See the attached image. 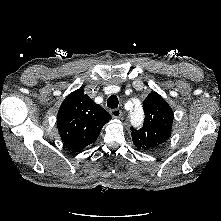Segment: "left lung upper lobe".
Here are the masks:
<instances>
[{
  "label": "left lung upper lobe",
  "instance_id": "5c2ea615",
  "mask_svg": "<svg viewBox=\"0 0 221 221\" xmlns=\"http://www.w3.org/2000/svg\"><path fill=\"white\" fill-rule=\"evenodd\" d=\"M145 119L140 130L131 128L134 145L144 151H154L171 136L173 112L168 103L156 92L143 102Z\"/></svg>",
  "mask_w": 221,
  "mask_h": 221
}]
</instances>
